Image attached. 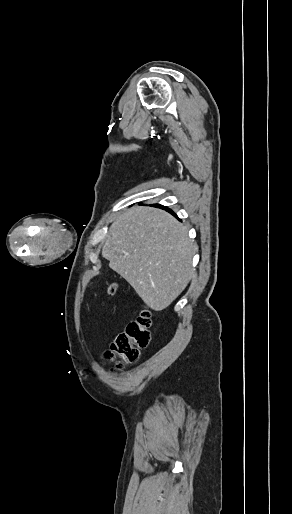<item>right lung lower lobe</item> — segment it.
I'll return each instance as SVG.
<instances>
[{
    "label": "right lung lower lobe",
    "mask_w": 292,
    "mask_h": 514,
    "mask_svg": "<svg viewBox=\"0 0 292 514\" xmlns=\"http://www.w3.org/2000/svg\"><path fill=\"white\" fill-rule=\"evenodd\" d=\"M152 206H155V207H158V208H162V209H165L166 211L170 212L172 215L176 216L170 209H168L167 207H164V206H161V205H156V204H153Z\"/></svg>",
    "instance_id": "1"
}]
</instances>
